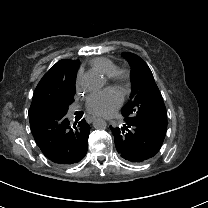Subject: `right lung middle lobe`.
I'll use <instances>...</instances> for the list:
<instances>
[{
  "label": "right lung middle lobe",
  "mask_w": 208,
  "mask_h": 208,
  "mask_svg": "<svg viewBox=\"0 0 208 208\" xmlns=\"http://www.w3.org/2000/svg\"><path fill=\"white\" fill-rule=\"evenodd\" d=\"M75 79L62 85L54 95L44 97L37 106L43 115H66L68 106L74 102Z\"/></svg>",
  "instance_id": "right-lung-middle-lobe-1"
}]
</instances>
